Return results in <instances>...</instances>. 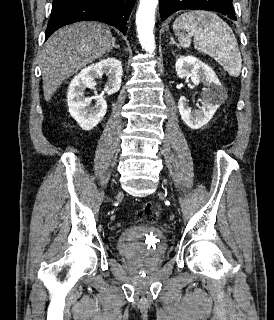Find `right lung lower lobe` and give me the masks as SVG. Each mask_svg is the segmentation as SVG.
I'll return each instance as SVG.
<instances>
[{
  "label": "right lung lower lobe",
  "mask_w": 274,
  "mask_h": 320,
  "mask_svg": "<svg viewBox=\"0 0 274 320\" xmlns=\"http://www.w3.org/2000/svg\"><path fill=\"white\" fill-rule=\"evenodd\" d=\"M135 0H53L45 39L60 27L93 20L112 25L126 34V24Z\"/></svg>",
  "instance_id": "right-lung-lower-lobe-1"
}]
</instances>
